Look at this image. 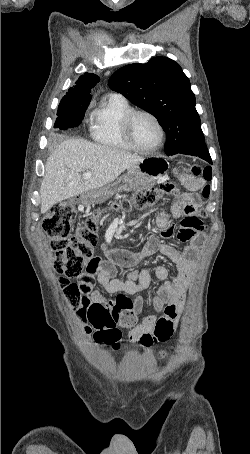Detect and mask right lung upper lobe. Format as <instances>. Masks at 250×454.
Returning <instances> with one entry per match:
<instances>
[{
  "instance_id": "obj_1",
  "label": "right lung upper lobe",
  "mask_w": 250,
  "mask_h": 454,
  "mask_svg": "<svg viewBox=\"0 0 250 454\" xmlns=\"http://www.w3.org/2000/svg\"><path fill=\"white\" fill-rule=\"evenodd\" d=\"M100 78L92 73H84L79 77L74 87L69 88L67 94L62 98V104L78 103V102H90L91 95L90 91Z\"/></svg>"
}]
</instances>
